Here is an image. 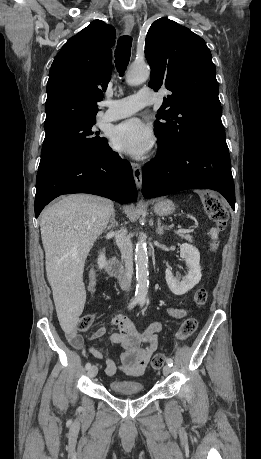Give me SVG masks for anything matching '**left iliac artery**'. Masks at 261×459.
<instances>
[{
    "label": "left iliac artery",
    "instance_id": "1",
    "mask_svg": "<svg viewBox=\"0 0 261 459\" xmlns=\"http://www.w3.org/2000/svg\"><path fill=\"white\" fill-rule=\"evenodd\" d=\"M140 304H141V306H143V305H144V301L142 300V301L140 302ZM166 363H167L170 367L173 366V360H172V358H167Z\"/></svg>",
    "mask_w": 261,
    "mask_h": 459
}]
</instances>
